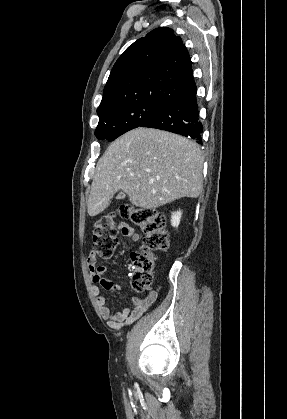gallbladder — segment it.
Segmentation results:
<instances>
[{"label": "gallbladder", "instance_id": "obj_1", "mask_svg": "<svg viewBox=\"0 0 287 419\" xmlns=\"http://www.w3.org/2000/svg\"><path fill=\"white\" fill-rule=\"evenodd\" d=\"M124 198H125V193L124 192H120L116 197V199H118V200L124 199Z\"/></svg>", "mask_w": 287, "mask_h": 419}]
</instances>
